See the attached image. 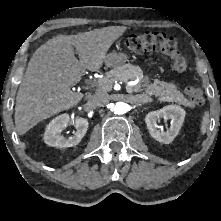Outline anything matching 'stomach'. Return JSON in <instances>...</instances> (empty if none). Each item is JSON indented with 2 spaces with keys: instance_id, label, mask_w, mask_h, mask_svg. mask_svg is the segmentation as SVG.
<instances>
[{
  "instance_id": "obj_1",
  "label": "stomach",
  "mask_w": 221,
  "mask_h": 221,
  "mask_svg": "<svg viewBox=\"0 0 221 221\" xmlns=\"http://www.w3.org/2000/svg\"><path fill=\"white\" fill-rule=\"evenodd\" d=\"M127 61V55L124 52H112L105 57V64L107 67H119L124 65Z\"/></svg>"
}]
</instances>
